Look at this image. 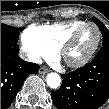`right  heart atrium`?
<instances>
[{
    "mask_svg": "<svg viewBox=\"0 0 109 109\" xmlns=\"http://www.w3.org/2000/svg\"><path fill=\"white\" fill-rule=\"evenodd\" d=\"M21 49L33 62H39L43 58H52L55 53V49L46 39L28 35L25 32L21 35Z\"/></svg>",
    "mask_w": 109,
    "mask_h": 109,
    "instance_id": "1",
    "label": "right heart atrium"
}]
</instances>
